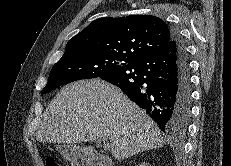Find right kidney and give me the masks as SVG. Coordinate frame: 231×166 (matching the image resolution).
I'll return each instance as SVG.
<instances>
[{"label":"right kidney","mask_w":231,"mask_h":166,"mask_svg":"<svg viewBox=\"0 0 231 166\" xmlns=\"http://www.w3.org/2000/svg\"><path fill=\"white\" fill-rule=\"evenodd\" d=\"M136 166H148V164L143 162V163H140L139 165H136Z\"/></svg>","instance_id":"ca27d5eb"}]
</instances>
